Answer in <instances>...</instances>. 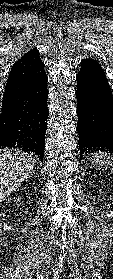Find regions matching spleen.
<instances>
[{"mask_svg": "<svg viewBox=\"0 0 113 279\" xmlns=\"http://www.w3.org/2000/svg\"><path fill=\"white\" fill-rule=\"evenodd\" d=\"M113 157H111L108 153L105 152H94L92 154V161L95 164H101L106 168L112 167L113 165Z\"/></svg>", "mask_w": 113, "mask_h": 279, "instance_id": "3e777b00", "label": "spleen"}]
</instances>
